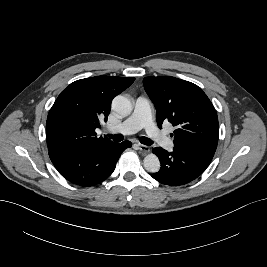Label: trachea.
<instances>
[{"instance_id":"1","label":"trachea","mask_w":267,"mask_h":267,"mask_svg":"<svg viewBox=\"0 0 267 267\" xmlns=\"http://www.w3.org/2000/svg\"><path fill=\"white\" fill-rule=\"evenodd\" d=\"M111 139H113L114 141L116 142H120L123 140V135L121 134H115V135H108ZM140 142L144 145H152L153 144V141L147 137H141L140 139Z\"/></svg>"}]
</instances>
